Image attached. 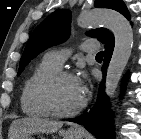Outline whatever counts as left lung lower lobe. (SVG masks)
Listing matches in <instances>:
<instances>
[{
    "mask_svg": "<svg viewBox=\"0 0 141 139\" xmlns=\"http://www.w3.org/2000/svg\"><path fill=\"white\" fill-rule=\"evenodd\" d=\"M113 48L114 37L112 36L105 43V58L104 64L102 66L104 77L99 87L98 98L95 105L90 112L85 113L77 118L69 119L71 122L84 124L85 128L99 139L113 138V117L109 109L108 98L104 92L107 67L112 56Z\"/></svg>",
    "mask_w": 141,
    "mask_h": 139,
    "instance_id": "1",
    "label": "left lung lower lobe"
}]
</instances>
